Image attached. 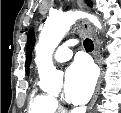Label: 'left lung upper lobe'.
<instances>
[{
    "label": "left lung upper lobe",
    "mask_w": 121,
    "mask_h": 113,
    "mask_svg": "<svg viewBox=\"0 0 121 113\" xmlns=\"http://www.w3.org/2000/svg\"><path fill=\"white\" fill-rule=\"evenodd\" d=\"M87 4L89 6H92V2L90 0H87ZM28 34V41H27V51H26V72L29 73V64L31 62V50L33 48V45L35 43V35L33 32V29L31 28L29 30Z\"/></svg>",
    "instance_id": "1"
}]
</instances>
